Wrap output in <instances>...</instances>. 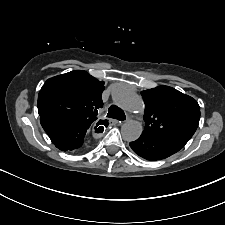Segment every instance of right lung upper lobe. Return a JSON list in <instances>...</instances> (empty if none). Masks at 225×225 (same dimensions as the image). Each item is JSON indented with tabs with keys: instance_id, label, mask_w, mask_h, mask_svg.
<instances>
[{
	"instance_id": "right-lung-upper-lobe-1",
	"label": "right lung upper lobe",
	"mask_w": 225,
	"mask_h": 225,
	"mask_svg": "<svg viewBox=\"0 0 225 225\" xmlns=\"http://www.w3.org/2000/svg\"><path fill=\"white\" fill-rule=\"evenodd\" d=\"M104 89L103 81H98L82 70L52 77L39 92V115L76 119L94 127L98 109L103 106L101 95ZM100 124L99 121L97 126Z\"/></svg>"
}]
</instances>
